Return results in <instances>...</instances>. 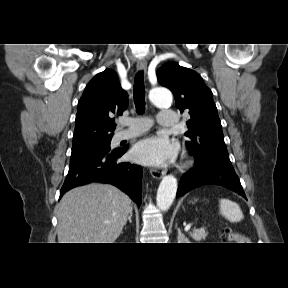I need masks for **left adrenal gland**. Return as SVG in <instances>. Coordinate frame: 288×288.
I'll list each match as a JSON object with an SVG mask.
<instances>
[{
  "label": "left adrenal gland",
  "instance_id": "a2214340",
  "mask_svg": "<svg viewBox=\"0 0 288 288\" xmlns=\"http://www.w3.org/2000/svg\"><path fill=\"white\" fill-rule=\"evenodd\" d=\"M177 231H178V237H177L178 243H190L189 239L185 237L184 234L181 233V230L179 228L177 229Z\"/></svg>",
  "mask_w": 288,
  "mask_h": 288
}]
</instances>
